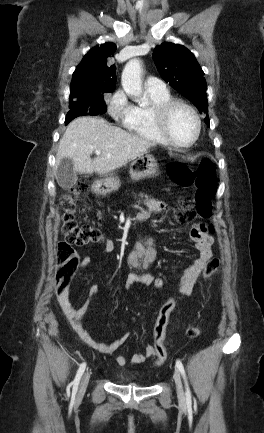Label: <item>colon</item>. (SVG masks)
Listing matches in <instances>:
<instances>
[{
    "mask_svg": "<svg viewBox=\"0 0 264 433\" xmlns=\"http://www.w3.org/2000/svg\"><path fill=\"white\" fill-rule=\"evenodd\" d=\"M168 174L172 182L181 187L195 186L193 197L183 198L180 208L175 212L173 222L188 224L197 217H209L213 211L212 199L215 189V170L213 162L209 158L202 159L196 167L181 163H171L168 166ZM88 192V183L79 180L62 199L63 218L61 230L65 240L58 246L57 265V292L62 293L68 286L78 268L79 257L75 246H86L101 243L106 240L103 233L94 226L80 224L76 218V202L82 199ZM213 231V225H210ZM220 260L211 258L206 263L203 277L208 278L219 270ZM175 308V299L169 298L159 309L153 330V346L156 349L157 366L166 360V348L164 345L165 333L169 317ZM201 333L198 326H189L186 335L196 338Z\"/></svg>",
    "mask_w": 264,
    "mask_h": 433,
    "instance_id": "5ec220e1",
    "label": "colon"
}]
</instances>
